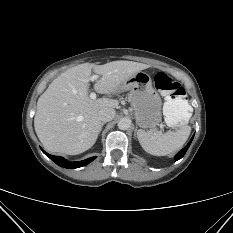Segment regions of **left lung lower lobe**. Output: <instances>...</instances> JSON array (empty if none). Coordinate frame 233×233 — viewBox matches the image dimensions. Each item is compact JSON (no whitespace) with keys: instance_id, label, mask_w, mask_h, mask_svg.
I'll return each instance as SVG.
<instances>
[{"instance_id":"0a47b994","label":"left lung lower lobe","mask_w":233,"mask_h":233,"mask_svg":"<svg viewBox=\"0 0 233 233\" xmlns=\"http://www.w3.org/2000/svg\"><path fill=\"white\" fill-rule=\"evenodd\" d=\"M193 137H194V136H193ZM193 137L191 138V140L189 141V143H188L181 151H179V152L176 154V156H175V159H176V160H179V159H181V158L184 156V154L186 153L187 149L189 148V146H190V144H191V142H192V140H193Z\"/></svg>"}]
</instances>
